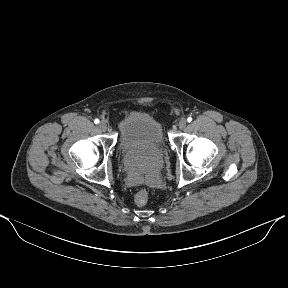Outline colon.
I'll list each match as a JSON object with an SVG mask.
<instances>
[{
	"mask_svg": "<svg viewBox=\"0 0 288 288\" xmlns=\"http://www.w3.org/2000/svg\"><path fill=\"white\" fill-rule=\"evenodd\" d=\"M149 200V193L147 190L145 189H141L140 191H138L135 195V203L138 206H144L147 204Z\"/></svg>",
	"mask_w": 288,
	"mask_h": 288,
	"instance_id": "5ec220e1",
	"label": "colon"
}]
</instances>
